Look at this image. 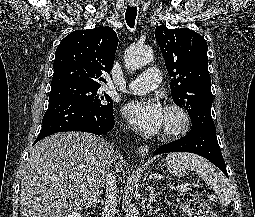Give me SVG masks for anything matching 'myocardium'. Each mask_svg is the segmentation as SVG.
Listing matches in <instances>:
<instances>
[{
    "label": "myocardium",
    "mask_w": 255,
    "mask_h": 217,
    "mask_svg": "<svg viewBox=\"0 0 255 217\" xmlns=\"http://www.w3.org/2000/svg\"><path fill=\"white\" fill-rule=\"evenodd\" d=\"M166 111L175 112L180 119V123L177 127L161 132L160 139L163 141H173L176 140L183 135H185L190 126H191V118L188 111L178 103H169L165 107Z\"/></svg>",
    "instance_id": "f54148a6"
}]
</instances>
